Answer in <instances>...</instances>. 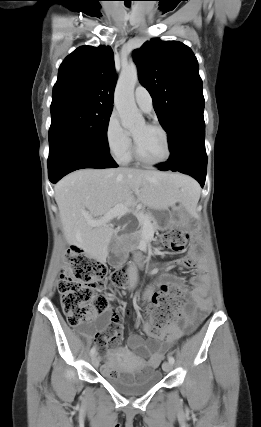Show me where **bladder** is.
<instances>
[{
    "label": "bladder",
    "instance_id": "1",
    "mask_svg": "<svg viewBox=\"0 0 261 427\" xmlns=\"http://www.w3.org/2000/svg\"><path fill=\"white\" fill-rule=\"evenodd\" d=\"M102 377L125 394H141L154 388L162 379L158 370L139 373L117 358L110 359L102 369Z\"/></svg>",
    "mask_w": 261,
    "mask_h": 427
}]
</instances>
